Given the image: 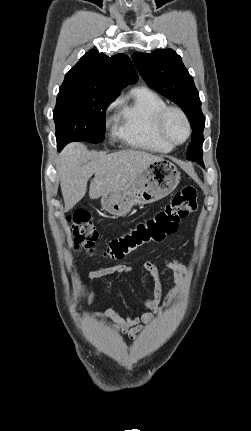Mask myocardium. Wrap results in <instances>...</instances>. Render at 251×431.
Wrapping results in <instances>:
<instances>
[{
  "mask_svg": "<svg viewBox=\"0 0 251 431\" xmlns=\"http://www.w3.org/2000/svg\"><path fill=\"white\" fill-rule=\"evenodd\" d=\"M172 112L178 113L182 117V119L185 123V126H186V130H187L186 137L181 142L172 141L167 136L166 131H165L166 119H167L168 115ZM155 128H156V132H157L158 136L160 137V139L164 143H166L167 145H169L171 147H177V146H180V145L184 144L185 142H187L191 136V131H192L191 130V124H190V121H189L187 114L184 112V110H182L180 107H177V106H166V107H164L158 113V115L156 117Z\"/></svg>",
  "mask_w": 251,
  "mask_h": 431,
  "instance_id": "f54148a6",
  "label": "myocardium"
}]
</instances>
